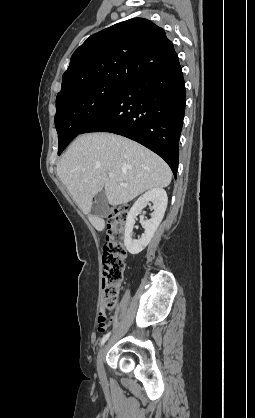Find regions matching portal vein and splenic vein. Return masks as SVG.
Wrapping results in <instances>:
<instances>
[{"mask_svg": "<svg viewBox=\"0 0 255 418\" xmlns=\"http://www.w3.org/2000/svg\"><path fill=\"white\" fill-rule=\"evenodd\" d=\"M109 177L110 178L114 177V174L113 173H109ZM121 186H125V185L123 183H121Z\"/></svg>", "mask_w": 255, "mask_h": 418, "instance_id": "portal-vein-and-splenic-vein-1", "label": "portal vein and splenic vein"}]
</instances>
